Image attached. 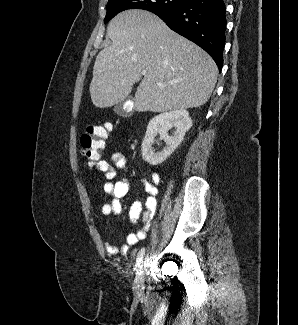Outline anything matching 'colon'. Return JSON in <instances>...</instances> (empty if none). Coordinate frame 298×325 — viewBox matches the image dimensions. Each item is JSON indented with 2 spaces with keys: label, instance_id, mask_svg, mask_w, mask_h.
I'll return each mask as SVG.
<instances>
[{
  "label": "colon",
  "instance_id": "1",
  "mask_svg": "<svg viewBox=\"0 0 298 325\" xmlns=\"http://www.w3.org/2000/svg\"><path fill=\"white\" fill-rule=\"evenodd\" d=\"M111 129V124L90 125L81 136V152L90 167L95 166L100 161L105 147V139Z\"/></svg>",
  "mask_w": 298,
  "mask_h": 325
}]
</instances>
